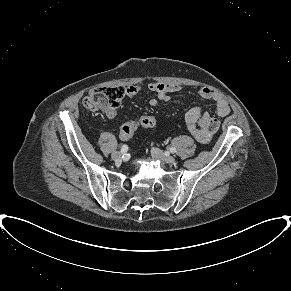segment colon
<instances>
[{"label": "colon", "instance_id": "obj_1", "mask_svg": "<svg viewBox=\"0 0 291 291\" xmlns=\"http://www.w3.org/2000/svg\"><path fill=\"white\" fill-rule=\"evenodd\" d=\"M125 95V89L120 86L100 87L91 90L84 98V106L91 111L116 109ZM157 120L152 115H143L125 123L120 132L123 140H128L139 128L154 127Z\"/></svg>", "mask_w": 291, "mask_h": 291}]
</instances>
